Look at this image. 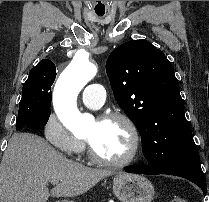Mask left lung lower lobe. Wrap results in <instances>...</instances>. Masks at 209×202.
Returning a JSON list of instances; mask_svg holds the SVG:
<instances>
[{
  "instance_id": "left-lung-lower-lobe-1",
  "label": "left lung lower lobe",
  "mask_w": 209,
  "mask_h": 202,
  "mask_svg": "<svg viewBox=\"0 0 209 202\" xmlns=\"http://www.w3.org/2000/svg\"><path fill=\"white\" fill-rule=\"evenodd\" d=\"M125 171L137 174H167L183 177L198 185L202 189L203 194L206 195V180L201 169L200 157L196 146L188 148L167 166L136 165L125 168Z\"/></svg>"
}]
</instances>
